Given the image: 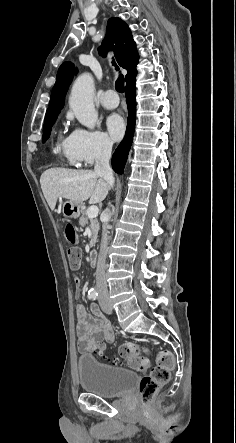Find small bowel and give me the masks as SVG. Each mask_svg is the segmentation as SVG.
<instances>
[{
	"instance_id": "obj_1",
	"label": "small bowel",
	"mask_w": 236,
	"mask_h": 443,
	"mask_svg": "<svg viewBox=\"0 0 236 443\" xmlns=\"http://www.w3.org/2000/svg\"><path fill=\"white\" fill-rule=\"evenodd\" d=\"M76 296L80 295V279L76 277ZM77 316V340L80 352H89L99 341L111 343L114 341V333L109 322L102 316L97 305L91 304L89 308L84 305L76 307Z\"/></svg>"
}]
</instances>
